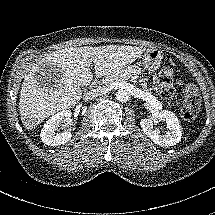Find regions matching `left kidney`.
Wrapping results in <instances>:
<instances>
[{"label":"left kidney","instance_id":"5707ae66","mask_svg":"<svg viewBox=\"0 0 215 215\" xmlns=\"http://www.w3.org/2000/svg\"><path fill=\"white\" fill-rule=\"evenodd\" d=\"M163 123L167 132L163 128L154 129L155 126ZM140 127L151 141L161 147H171L180 142L181 129L177 117L169 111H160L157 115L148 116L140 120Z\"/></svg>","mask_w":215,"mask_h":215}]
</instances>
